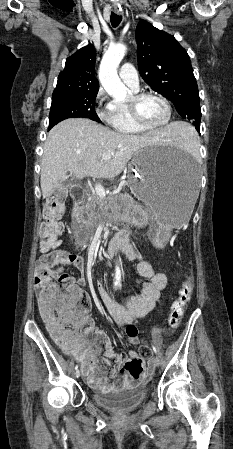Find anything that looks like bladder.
<instances>
[{
  "mask_svg": "<svg viewBox=\"0 0 233 449\" xmlns=\"http://www.w3.org/2000/svg\"><path fill=\"white\" fill-rule=\"evenodd\" d=\"M147 397L145 388L122 389L119 391H94L95 404L113 413H126L137 409Z\"/></svg>",
  "mask_w": 233,
  "mask_h": 449,
  "instance_id": "bladder-1",
  "label": "bladder"
}]
</instances>
